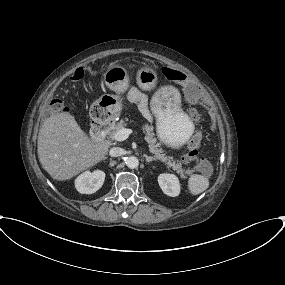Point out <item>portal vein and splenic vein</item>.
<instances>
[{
  "label": "portal vein and splenic vein",
  "instance_id": "18ae733b",
  "mask_svg": "<svg viewBox=\"0 0 285 285\" xmlns=\"http://www.w3.org/2000/svg\"><path fill=\"white\" fill-rule=\"evenodd\" d=\"M132 132H133L132 129L123 128V129L116 132V134L114 135V140L119 141V142L124 141L129 137V135Z\"/></svg>",
  "mask_w": 285,
  "mask_h": 285
}]
</instances>
